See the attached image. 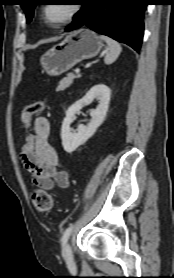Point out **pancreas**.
Masks as SVG:
<instances>
[{
  "instance_id": "obj_1",
  "label": "pancreas",
  "mask_w": 174,
  "mask_h": 278,
  "mask_svg": "<svg viewBox=\"0 0 174 278\" xmlns=\"http://www.w3.org/2000/svg\"><path fill=\"white\" fill-rule=\"evenodd\" d=\"M80 77V75H74L73 73H69L68 75H67V77H65V78H63L60 82H59V84H58V86H57V91H63V90H65V89H67L72 83H73V80L75 79V78H79Z\"/></svg>"
}]
</instances>
